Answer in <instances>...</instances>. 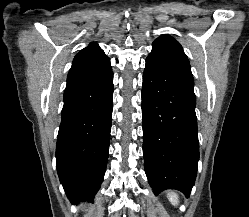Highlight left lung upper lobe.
<instances>
[{"instance_id": "1", "label": "left lung upper lobe", "mask_w": 249, "mask_h": 217, "mask_svg": "<svg viewBox=\"0 0 249 217\" xmlns=\"http://www.w3.org/2000/svg\"><path fill=\"white\" fill-rule=\"evenodd\" d=\"M146 61L192 75L189 60L182 46L169 35H162L153 42L152 51Z\"/></svg>"}]
</instances>
